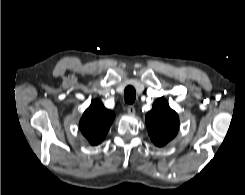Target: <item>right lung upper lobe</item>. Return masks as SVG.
Masks as SVG:
<instances>
[{
  "mask_svg": "<svg viewBox=\"0 0 245 195\" xmlns=\"http://www.w3.org/2000/svg\"><path fill=\"white\" fill-rule=\"evenodd\" d=\"M115 114L107 110L99 100H94L80 120V129L90 144L98 145L105 138Z\"/></svg>",
  "mask_w": 245,
  "mask_h": 195,
  "instance_id": "obj_1",
  "label": "right lung upper lobe"
}]
</instances>
